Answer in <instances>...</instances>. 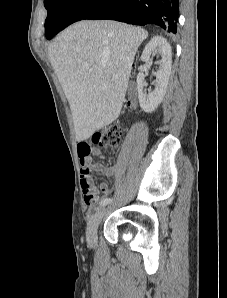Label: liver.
I'll list each match as a JSON object with an SVG mask.
<instances>
[{
    "mask_svg": "<svg viewBox=\"0 0 227 298\" xmlns=\"http://www.w3.org/2000/svg\"><path fill=\"white\" fill-rule=\"evenodd\" d=\"M147 36L144 29L117 21H79L50 45L78 142L119 117L135 54Z\"/></svg>",
    "mask_w": 227,
    "mask_h": 298,
    "instance_id": "1",
    "label": "liver"
}]
</instances>
